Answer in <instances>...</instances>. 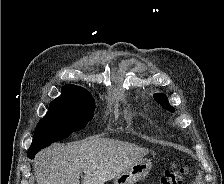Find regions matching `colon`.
Here are the masks:
<instances>
[{
	"instance_id": "1",
	"label": "colon",
	"mask_w": 224,
	"mask_h": 184,
	"mask_svg": "<svg viewBox=\"0 0 224 184\" xmlns=\"http://www.w3.org/2000/svg\"><path fill=\"white\" fill-rule=\"evenodd\" d=\"M186 173L187 169L185 167L173 165L162 175L159 184H182Z\"/></svg>"
}]
</instances>
